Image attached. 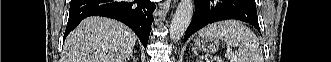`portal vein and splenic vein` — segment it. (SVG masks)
I'll return each instance as SVG.
<instances>
[{"mask_svg":"<svg viewBox=\"0 0 331 62\" xmlns=\"http://www.w3.org/2000/svg\"><path fill=\"white\" fill-rule=\"evenodd\" d=\"M227 53L230 54L232 56V51L231 49H227Z\"/></svg>","mask_w":331,"mask_h":62,"instance_id":"1","label":"portal vein and splenic vein"}]
</instances>
